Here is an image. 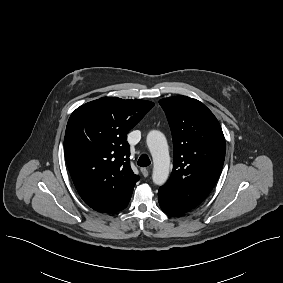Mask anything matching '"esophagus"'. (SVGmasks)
<instances>
[{
  "label": "esophagus",
  "instance_id": "34e87169",
  "mask_svg": "<svg viewBox=\"0 0 283 283\" xmlns=\"http://www.w3.org/2000/svg\"><path fill=\"white\" fill-rule=\"evenodd\" d=\"M140 171L144 177H148L149 171L147 168H141Z\"/></svg>",
  "mask_w": 283,
  "mask_h": 283
}]
</instances>
